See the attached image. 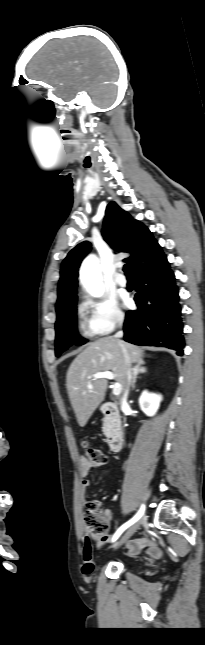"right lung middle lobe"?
Here are the masks:
<instances>
[{
	"mask_svg": "<svg viewBox=\"0 0 205 645\" xmlns=\"http://www.w3.org/2000/svg\"><path fill=\"white\" fill-rule=\"evenodd\" d=\"M56 340L55 353L59 356L70 345H82L86 341L81 340L76 330V300L65 310L57 314L55 325Z\"/></svg>",
	"mask_w": 205,
	"mask_h": 645,
	"instance_id": "obj_1",
	"label": "right lung middle lobe"
}]
</instances>
